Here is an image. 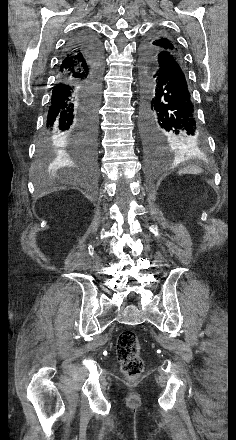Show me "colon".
Listing matches in <instances>:
<instances>
[{"label":"colon","mask_w":236,"mask_h":440,"mask_svg":"<svg viewBox=\"0 0 236 440\" xmlns=\"http://www.w3.org/2000/svg\"><path fill=\"white\" fill-rule=\"evenodd\" d=\"M117 357L121 363V369L128 378L139 376L144 367L140 356V347L136 334L131 330H125L118 338Z\"/></svg>","instance_id":"5ec220e1"}]
</instances>
